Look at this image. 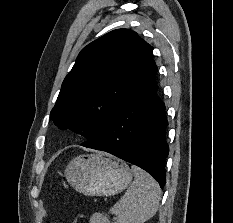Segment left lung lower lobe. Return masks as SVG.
Listing matches in <instances>:
<instances>
[{
  "label": "left lung lower lobe",
  "instance_id": "left-lung-lower-lobe-1",
  "mask_svg": "<svg viewBox=\"0 0 233 223\" xmlns=\"http://www.w3.org/2000/svg\"><path fill=\"white\" fill-rule=\"evenodd\" d=\"M156 65L141 85L109 119L85 147L106 151L144 169L166 183L165 160L169 147L165 140L168 122L165 105L157 97Z\"/></svg>",
  "mask_w": 233,
  "mask_h": 223
}]
</instances>
